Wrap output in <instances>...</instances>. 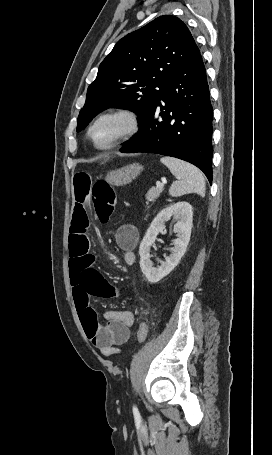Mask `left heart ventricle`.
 <instances>
[{"label": "left heart ventricle", "instance_id": "b2bd125f", "mask_svg": "<svg viewBox=\"0 0 272 455\" xmlns=\"http://www.w3.org/2000/svg\"><path fill=\"white\" fill-rule=\"evenodd\" d=\"M122 123L119 119H105L92 131V138L98 145L108 144L121 131Z\"/></svg>", "mask_w": 272, "mask_h": 455}]
</instances>
